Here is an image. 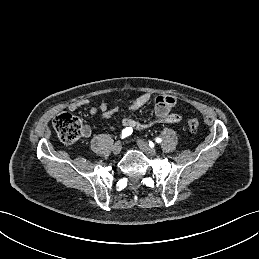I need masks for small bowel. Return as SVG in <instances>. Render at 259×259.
<instances>
[{
  "label": "small bowel",
  "instance_id": "c3829d8e",
  "mask_svg": "<svg viewBox=\"0 0 259 259\" xmlns=\"http://www.w3.org/2000/svg\"><path fill=\"white\" fill-rule=\"evenodd\" d=\"M151 99V94L143 93L139 95L129 106V114L123 118L122 124L126 128H132V130H143L149 127L148 124H142L135 121L130 114L139 110ZM91 102L89 99H83L79 101L71 102L68 106L69 110L75 111L80 107L87 105ZM176 104V99L172 95H159L155 99V117L157 123H178L181 121L182 117L180 114L172 113L171 110ZM98 111L101 112V118L105 122H108L118 111L117 108H109L108 102L106 99H102L98 106L92 107L90 109V114L94 115ZM82 135L84 137H89L91 135V128L89 125L85 124L82 128Z\"/></svg>",
  "mask_w": 259,
  "mask_h": 259
}]
</instances>
